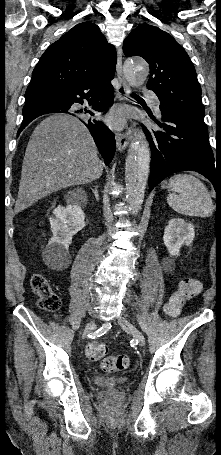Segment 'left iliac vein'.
I'll list each match as a JSON object with an SVG mask.
<instances>
[{
  "label": "left iliac vein",
  "instance_id": "left-iliac-vein-1",
  "mask_svg": "<svg viewBox=\"0 0 221 455\" xmlns=\"http://www.w3.org/2000/svg\"><path fill=\"white\" fill-rule=\"evenodd\" d=\"M119 325L126 331L130 332L133 337L138 341L140 346H145V338L142 332H140L126 317H118Z\"/></svg>",
  "mask_w": 221,
  "mask_h": 455
}]
</instances>
